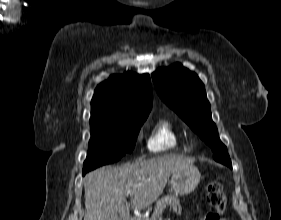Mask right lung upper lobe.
I'll return each instance as SVG.
<instances>
[{
  "label": "right lung upper lobe",
  "instance_id": "1",
  "mask_svg": "<svg viewBox=\"0 0 281 220\" xmlns=\"http://www.w3.org/2000/svg\"><path fill=\"white\" fill-rule=\"evenodd\" d=\"M153 103L148 74L112 75L97 86L91 102L92 122L117 121L148 115Z\"/></svg>",
  "mask_w": 281,
  "mask_h": 220
}]
</instances>
